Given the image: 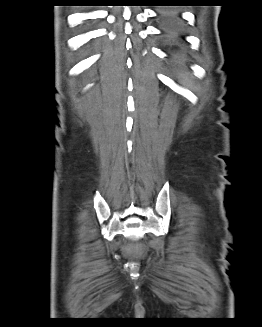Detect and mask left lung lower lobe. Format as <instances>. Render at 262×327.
Returning a JSON list of instances; mask_svg holds the SVG:
<instances>
[{
    "label": "left lung lower lobe",
    "instance_id": "obj_1",
    "mask_svg": "<svg viewBox=\"0 0 262 327\" xmlns=\"http://www.w3.org/2000/svg\"><path fill=\"white\" fill-rule=\"evenodd\" d=\"M159 16L162 19L163 32L165 36L172 42L175 43L179 40V33L181 30V19L182 17L172 11H161Z\"/></svg>",
    "mask_w": 262,
    "mask_h": 327
}]
</instances>
